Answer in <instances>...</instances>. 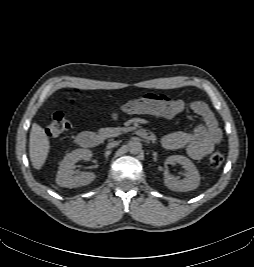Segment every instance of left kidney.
<instances>
[{
	"label": "left kidney",
	"instance_id": "left-kidney-1",
	"mask_svg": "<svg viewBox=\"0 0 254 267\" xmlns=\"http://www.w3.org/2000/svg\"><path fill=\"white\" fill-rule=\"evenodd\" d=\"M167 163H179L186 170L185 178L182 180L170 176L167 172L164 173V183L170 190L187 192L199 186L200 174L190 159L182 155H172L168 157Z\"/></svg>",
	"mask_w": 254,
	"mask_h": 267
}]
</instances>
